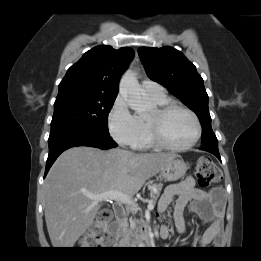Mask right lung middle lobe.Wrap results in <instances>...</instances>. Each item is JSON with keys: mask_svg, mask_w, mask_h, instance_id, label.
<instances>
[{"mask_svg": "<svg viewBox=\"0 0 261 261\" xmlns=\"http://www.w3.org/2000/svg\"><path fill=\"white\" fill-rule=\"evenodd\" d=\"M115 98L100 95H58L54 103L51 133L75 128H90L109 133L107 117Z\"/></svg>", "mask_w": 261, "mask_h": 261, "instance_id": "right-lung-middle-lobe-1", "label": "right lung middle lobe"}]
</instances>
